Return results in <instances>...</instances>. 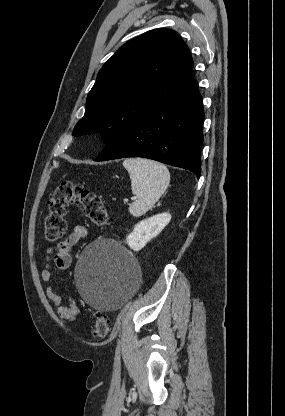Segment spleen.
<instances>
[{
	"label": "spleen",
	"instance_id": "1",
	"mask_svg": "<svg viewBox=\"0 0 285 416\" xmlns=\"http://www.w3.org/2000/svg\"><path fill=\"white\" fill-rule=\"evenodd\" d=\"M123 166L130 176L132 194L138 198L128 210L139 218L151 210L166 192L170 184L169 170L159 162L143 158H125Z\"/></svg>",
	"mask_w": 285,
	"mask_h": 416
}]
</instances>
